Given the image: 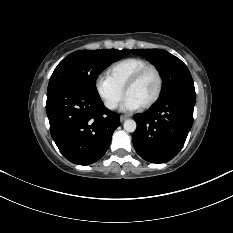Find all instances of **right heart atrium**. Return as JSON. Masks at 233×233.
I'll list each match as a JSON object with an SVG mask.
<instances>
[{"mask_svg":"<svg viewBox=\"0 0 233 233\" xmlns=\"http://www.w3.org/2000/svg\"><path fill=\"white\" fill-rule=\"evenodd\" d=\"M94 85L103 105L109 110H114L123 98V90L104 75L97 76Z\"/></svg>","mask_w":233,"mask_h":233,"instance_id":"1","label":"right heart atrium"}]
</instances>
